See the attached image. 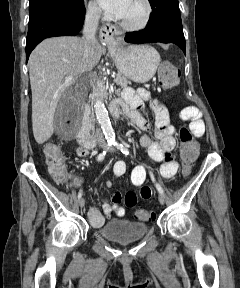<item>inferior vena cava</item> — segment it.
<instances>
[{
    "instance_id": "inferior-vena-cava-1",
    "label": "inferior vena cava",
    "mask_w": 240,
    "mask_h": 288,
    "mask_svg": "<svg viewBox=\"0 0 240 288\" xmlns=\"http://www.w3.org/2000/svg\"><path fill=\"white\" fill-rule=\"evenodd\" d=\"M101 10L97 6L89 7L86 12L84 26H83V50H84V58H88L92 46L97 43L95 38V34L98 28V22L100 19ZM94 137L96 139H102L103 135L100 129H96Z\"/></svg>"
}]
</instances>
